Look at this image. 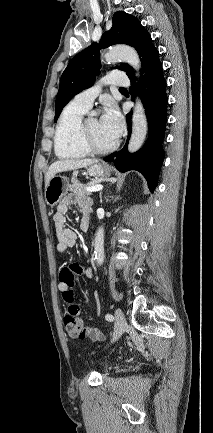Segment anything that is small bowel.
Returning a JSON list of instances; mask_svg holds the SVG:
<instances>
[{"instance_id":"obj_1","label":"small bowel","mask_w":213,"mask_h":433,"mask_svg":"<svg viewBox=\"0 0 213 433\" xmlns=\"http://www.w3.org/2000/svg\"><path fill=\"white\" fill-rule=\"evenodd\" d=\"M77 206L81 211L80 228L85 230L90 226L91 220V202L88 198L84 197H74L72 195L66 196L58 204L56 213L53 217V221L56 228L58 243L56 246L57 252L60 254H65L72 249L77 242V233L68 227L66 214L70 206ZM74 269L76 276H85L91 278L93 273L89 267H84L78 263L71 264L68 266ZM60 291H65L68 287L60 282L58 285ZM88 331L95 330L97 332V337L92 338L95 340H103L104 335L101 330L95 327L87 328Z\"/></svg>"}]
</instances>
